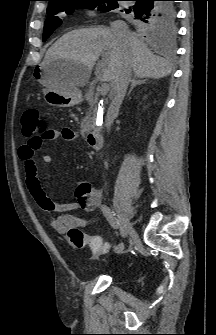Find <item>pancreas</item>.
<instances>
[{
    "label": "pancreas",
    "instance_id": "cf45deb5",
    "mask_svg": "<svg viewBox=\"0 0 216 335\" xmlns=\"http://www.w3.org/2000/svg\"><path fill=\"white\" fill-rule=\"evenodd\" d=\"M96 121V109L89 110L86 114V117L83 119L81 123V134L85 135V133L89 132L91 129L95 127Z\"/></svg>",
    "mask_w": 216,
    "mask_h": 335
}]
</instances>
